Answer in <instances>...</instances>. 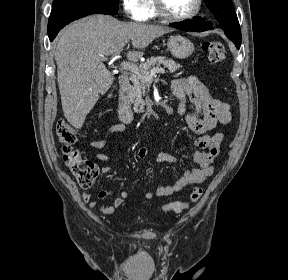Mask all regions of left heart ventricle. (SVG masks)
I'll use <instances>...</instances> for the list:
<instances>
[{
  "instance_id": "left-heart-ventricle-1",
  "label": "left heart ventricle",
  "mask_w": 288,
  "mask_h": 280,
  "mask_svg": "<svg viewBox=\"0 0 288 280\" xmlns=\"http://www.w3.org/2000/svg\"><path fill=\"white\" fill-rule=\"evenodd\" d=\"M166 11L174 16H182L191 12L196 0H162Z\"/></svg>"
}]
</instances>
